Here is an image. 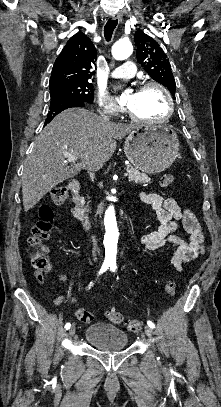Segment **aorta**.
<instances>
[{
  "label": "aorta",
  "mask_w": 221,
  "mask_h": 407,
  "mask_svg": "<svg viewBox=\"0 0 221 407\" xmlns=\"http://www.w3.org/2000/svg\"><path fill=\"white\" fill-rule=\"evenodd\" d=\"M132 52V44L127 40H120L112 47V55L116 60H125ZM104 225L106 231L104 236L105 261L113 262L116 260L119 237L114 206H109L105 211Z\"/></svg>",
  "instance_id": "762f6f07"
}]
</instances>
